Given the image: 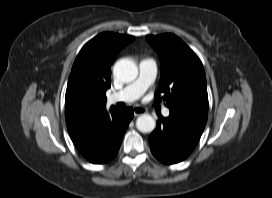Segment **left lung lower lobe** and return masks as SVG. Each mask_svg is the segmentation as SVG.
I'll return each mask as SVG.
<instances>
[{"mask_svg":"<svg viewBox=\"0 0 272 198\" xmlns=\"http://www.w3.org/2000/svg\"><path fill=\"white\" fill-rule=\"evenodd\" d=\"M206 122L205 115L170 109L169 117H160L149 137L153 155L165 164L183 161L197 145Z\"/></svg>","mask_w":272,"mask_h":198,"instance_id":"obj_1","label":"left lung lower lobe"}]
</instances>
